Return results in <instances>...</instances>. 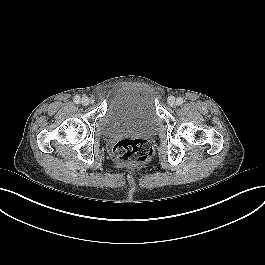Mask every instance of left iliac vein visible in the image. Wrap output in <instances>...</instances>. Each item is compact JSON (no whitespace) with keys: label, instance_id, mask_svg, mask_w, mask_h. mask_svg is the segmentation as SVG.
Returning a JSON list of instances; mask_svg holds the SVG:
<instances>
[{"label":"left iliac vein","instance_id":"1","mask_svg":"<svg viewBox=\"0 0 265 265\" xmlns=\"http://www.w3.org/2000/svg\"><path fill=\"white\" fill-rule=\"evenodd\" d=\"M167 103H168V105H170V106H174V105L176 104V100H175V98H174L173 96H170V97H168V99H167Z\"/></svg>","mask_w":265,"mask_h":265}]
</instances>
